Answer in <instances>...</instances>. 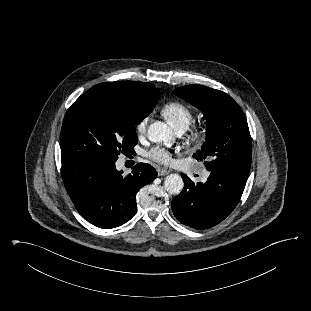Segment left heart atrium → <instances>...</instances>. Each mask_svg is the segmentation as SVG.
Masks as SVG:
<instances>
[{
  "label": "left heart atrium",
  "mask_w": 311,
  "mask_h": 311,
  "mask_svg": "<svg viewBox=\"0 0 311 311\" xmlns=\"http://www.w3.org/2000/svg\"><path fill=\"white\" fill-rule=\"evenodd\" d=\"M149 156L162 163H169L172 159L171 153L166 148L160 146L154 147L149 152Z\"/></svg>",
  "instance_id": "1"
}]
</instances>
